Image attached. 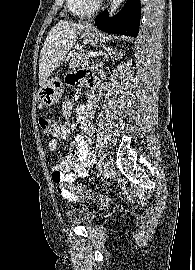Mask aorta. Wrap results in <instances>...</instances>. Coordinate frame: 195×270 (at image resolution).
Here are the masks:
<instances>
[{"mask_svg": "<svg viewBox=\"0 0 195 270\" xmlns=\"http://www.w3.org/2000/svg\"><path fill=\"white\" fill-rule=\"evenodd\" d=\"M124 0H111L110 7H109V16H113L119 7L121 6Z\"/></svg>", "mask_w": 195, "mask_h": 270, "instance_id": "762f6f07", "label": "aorta"}]
</instances>
